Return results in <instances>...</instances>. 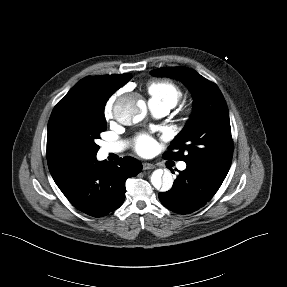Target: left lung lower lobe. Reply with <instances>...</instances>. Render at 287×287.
<instances>
[{
	"mask_svg": "<svg viewBox=\"0 0 287 287\" xmlns=\"http://www.w3.org/2000/svg\"><path fill=\"white\" fill-rule=\"evenodd\" d=\"M173 187L159 193V200L169 210L178 214L192 213L203 207L218 191L225 178L219 177L208 169L187 163Z\"/></svg>",
	"mask_w": 287,
	"mask_h": 287,
	"instance_id": "obj_1",
	"label": "left lung lower lobe"
}]
</instances>
